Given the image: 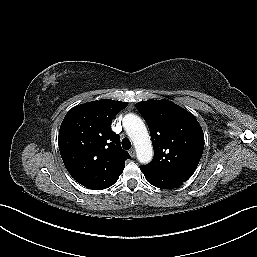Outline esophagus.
<instances>
[{"instance_id": "esophagus-1", "label": "esophagus", "mask_w": 257, "mask_h": 257, "mask_svg": "<svg viewBox=\"0 0 257 257\" xmlns=\"http://www.w3.org/2000/svg\"><path fill=\"white\" fill-rule=\"evenodd\" d=\"M129 154H130L131 157H135V155H136L135 149H133V148L130 149Z\"/></svg>"}]
</instances>
